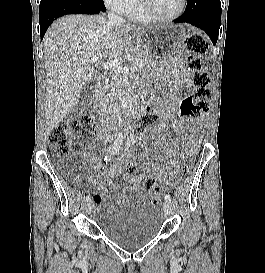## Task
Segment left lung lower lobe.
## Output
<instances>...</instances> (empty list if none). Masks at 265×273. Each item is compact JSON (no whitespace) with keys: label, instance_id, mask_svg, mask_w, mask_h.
<instances>
[{"label":"left lung lower lobe","instance_id":"left-lung-lower-lobe-1","mask_svg":"<svg viewBox=\"0 0 265 273\" xmlns=\"http://www.w3.org/2000/svg\"><path fill=\"white\" fill-rule=\"evenodd\" d=\"M174 23H189L204 30L216 44L221 24L220 0H187L184 14Z\"/></svg>","mask_w":265,"mask_h":273}]
</instances>
